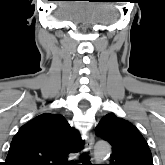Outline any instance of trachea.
I'll use <instances>...</instances> for the list:
<instances>
[{
  "label": "trachea",
  "instance_id": "1",
  "mask_svg": "<svg viewBox=\"0 0 165 165\" xmlns=\"http://www.w3.org/2000/svg\"><path fill=\"white\" fill-rule=\"evenodd\" d=\"M81 160L83 161L82 165H90L91 164L87 154L82 155ZM76 165H77V163H76Z\"/></svg>",
  "mask_w": 165,
  "mask_h": 165
}]
</instances>
